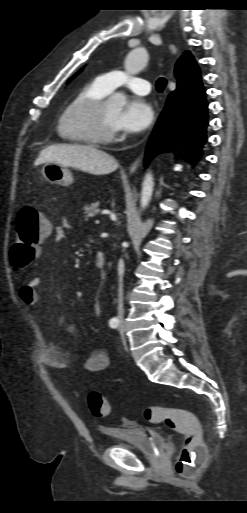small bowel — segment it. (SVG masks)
Returning <instances> with one entry per match:
<instances>
[{
  "instance_id": "1",
  "label": "small bowel",
  "mask_w": 247,
  "mask_h": 513,
  "mask_svg": "<svg viewBox=\"0 0 247 513\" xmlns=\"http://www.w3.org/2000/svg\"><path fill=\"white\" fill-rule=\"evenodd\" d=\"M71 225L67 219H64L60 226L51 227L48 236H52L55 242H61L65 238V230ZM47 236V237H48ZM41 279L32 277L28 282L19 288V298L26 306H34L40 301L39 289ZM93 308L97 314L102 311L99 300H94ZM41 362L52 369H65L69 367L68 354L58 348L52 341L47 340L41 354ZM110 360L104 350H94L90 352L83 362V368L87 372L95 373L105 370L109 366Z\"/></svg>"
}]
</instances>
